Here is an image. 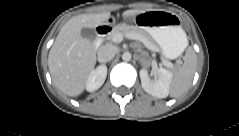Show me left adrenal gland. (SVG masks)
<instances>
[{"instance_id": "obj_1", "label": "left adrenal gland", "mask_w": 239, "mask_h": 136, "mask_svg": "<svg viewBox=\"0 0 239 136\" xmlns=\"http://www.w3.org/2000/svg\"><path fill=\"white\" fill-rule=\"evenodd\" d=\"M138 60H139V62H142V59H141V58H139Z\"/></svg>"}]
</instances>
